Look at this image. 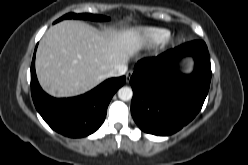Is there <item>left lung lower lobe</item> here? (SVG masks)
<instances>
[{
    "label": "left lung lower lobe",
    "mask_w": 248,
    "mask_h": 165,
    "mask_svg": "<svg viewBox=\"0 0 248 165\" xmlns=\"http://www.w3.org/2000/svg\"><path fill=\"white\" fill-rule=\"evenodd\" d=\"M192 56V74H177L181 57ZM211 80V64L204 41L195 40L155 58L140 60L130 79L131 113L146 133L168 136L187 125L201 110Z\"/></svg>",
    "instance_id": "0a47b994"
}]
</instances>
